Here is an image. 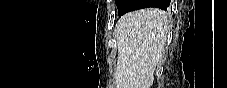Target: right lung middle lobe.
Instances as JSON below:
<instances>
[{"label":"right lung middle lobe","mask_w":227,"mask_h":88,"mask_svg":"<svg viewBox=\"0 0 227 88\" xmlns=\"http://www.w3.org/2000/svg\"><path fill=\"white\" fill-rule=\"evenodd\" d=\"M131 0H115L119 14L125 9Z\"/></svg>","instance_id":"1"}]
</instances>
